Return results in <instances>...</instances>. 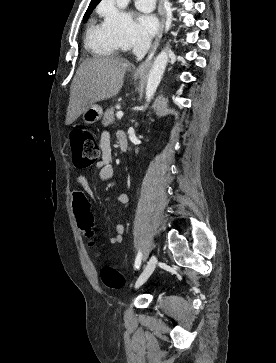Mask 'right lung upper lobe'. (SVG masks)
Returning a JSON list of instances; mask_svg holds the SVG:
<instances>
[{
  "label": "right lung upper lobe",
  "mask_w": 276,
  "mask_h": 363,
  "mask_svg": "<svg viewBox=\"0 0 276 363\" xmlns=\"http://www.w3.org/2000/svg\"><path fill=\"white\" fill-rule=\"evenodd\" d=\"M99 1H100V0H91L90 5H89V7H88V8H90V7H95V6L99 3Z\"/></svg>",
  "instance_id": "obj_1"
}]
</instances>
